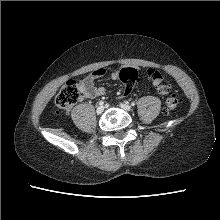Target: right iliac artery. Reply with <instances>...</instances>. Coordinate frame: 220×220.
Here are the masks:
<instances>
[{
  "label": "right iliac artery",
  "mask_w": 220,
  "mask_h": 220,
  "mask_svg": "<svg viewBox=\"0 0 220 220\" xmlns=\"http://www.w3.org/2000/svg\"><path fill=\"white\" fill-rule=\"evenodd\" d=\"M103 104H104V102H103V101H100V102H99V105H103Z\"/></svg>",
  "instance_id": "right-iliac-artery-1"
}]
</instances>
